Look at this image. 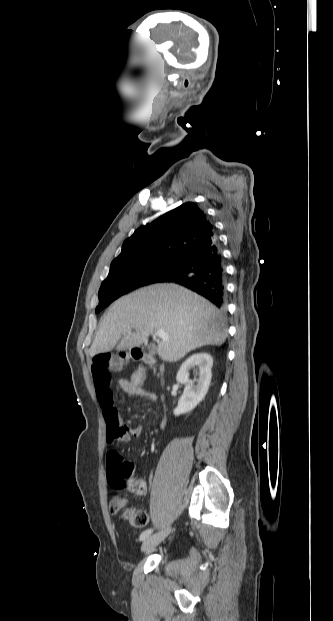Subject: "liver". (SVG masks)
<instances>
[{
	"instance_id": "6515ba94",
	"label": "liver",
	"mask_w": 333,
	"mask_h": 621,
	"mask_svg": "<svg viewBox=\"0 0 333 621\" xmlns=\"http://www.w3.org/2000/svg\"><path fill=\"white\" fill-rule=\"evenodd\" d=\"M159 329L168 339L158 343L157 354L169 362L204 345L220 346L227 338L224 317L210 302L175 284H155L112 304L101 318L90 355L139 347Z\"/></svg>"
}]
</instances>
